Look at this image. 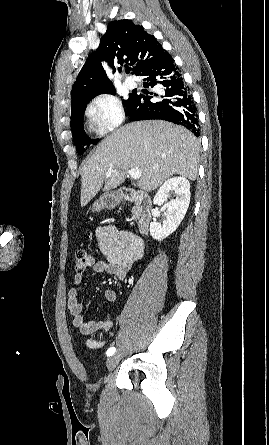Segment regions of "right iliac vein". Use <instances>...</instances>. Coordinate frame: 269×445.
<instances>
[{"mask_svg": "<svg viewBox=\"0 0 269 445\" xmlns=\"http://www.w3.org/2000/svg\"><path fill=\"white\" fill-rule=\"evenodd\" d=\"M120 360V356L115 354L113 356H111L108 360H107V367L109 370H112L116 367V365L118 364Z\"/></svg>", "mask_w": 269, "mask_h": 445, "instance_id": "right-iliac-vein-1", "label": "right iliac vein"}]
</instances>
